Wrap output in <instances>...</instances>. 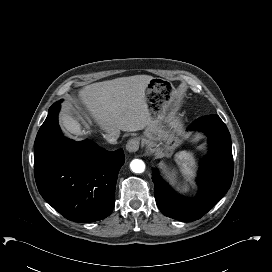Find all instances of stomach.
<instances>
[{"mask_svg":"<svg viewBox=\"0 0 272 272\" xmlns=\"http://www.w3.org/2000/svg\"><path fill=\"white\" fill-rule=\"evenodd\" d=\"M175 100L173 85L161 78H152L145 89V102L147 104L151 124L145 129L142 140L152 151L160 155H167L182 144L178 137L180 130L170 127L164 129L161 123L168 122L172 116Z\"/></svg>","mask_w":272,"mask_h":272,"instance_id":"obj_1","label":"stomach"}]
</instances>
